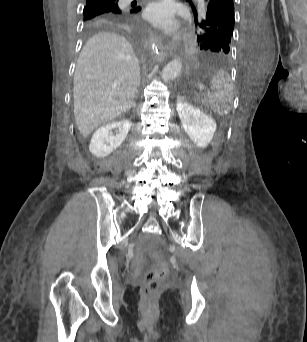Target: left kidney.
I'll return each instance as SVG.
<instances>
[{
  "label": "left kidney",
  "mask_w": 307,
  "mask_h": 342,
  "mask_svg": "<svg viewBox=\"0 0 307 342\" xmlns=\"http://www.w3.org/2000/svg\"><path fill=\"white\" fill-rule=\"evenodd\" d=\"M176 110L187 136L198 146V148H206L210 144L217 128V124L213 118L207 116L205 112H201L199 108L190 106L185 102L184 98H179L176 104Z\"/></svg>",
  "instance_id": "5707ae66"
}]
</instances>
